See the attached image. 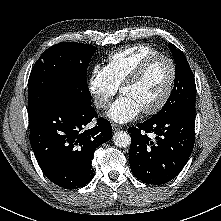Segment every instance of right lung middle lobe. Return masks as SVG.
I'll return each mask as SVG.
<instances>
[{"instance_id":"obj_1","label":"right lung middle lobe","mask_w":221,"mask_h":221,"mask_svg":"<svg viewBox=\"0 0 221 221\" xmlns=\"http://www.w3.org/2000/svg\"><path fill=\"white\" fill-rule=\"evenodd\" d=\"M96 49L76 42H61L48 48L30 73L28 112L54 97L76 105L91 104L86 74Z\"/></svg>"}]
</instances>
